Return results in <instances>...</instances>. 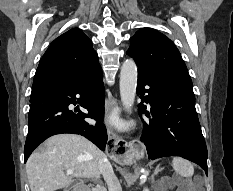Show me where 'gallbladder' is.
Here are the masks:
<instances>
[{"label":"gallbladder","instance_id":"bac80fb5","mask_svg":"<svg viewBox=\"0 0 233 191\" xmlns=\"http://www.w3.org/2000/svg\"><path fill=\"white\" fill-rule=\"evenodd\" d=\"M69 188H70V187L66 188V190H65V191H69Z\"/></svg>","mask_w":233,"mask_h":191}]
</instances>
